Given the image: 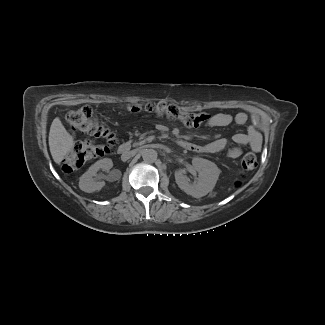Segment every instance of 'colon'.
I'll list each match as a JSON object with an SVG mask.
<instances>
[{
    "label": "colon",
    "mask_w": 325,
    "mask_h": 325,
    "mask_svg": "<svg viewBox=\"0 0 325 325\" xmlns=\"http://www.w3.org/2000/svg\"><path fill=\"white\" fill-rule=\"evenodd\" d=\"M129 111L134 114L148 113L156 116H164L170 120H177L188 127H198L208 120L207 114L193 113L182 110L174 104L165 102H150L145 105L131 104ZM66 119L75 132L89 135L94 139H103L104 143H97L94 140H85L76 143L66 154L62 168L66 172H71L80 168L87 162L106 155L114 143V134L107 125L99 119L90 106H84L77 110L70 111ZM257 166L256 156L247 153L241 160V176L244 178L247 173L253 171ZM236 186L241 185V181H236Z\"/></svg>",
    "instance_id": "obj_1"
}]
</instances>
